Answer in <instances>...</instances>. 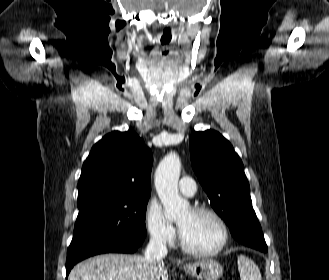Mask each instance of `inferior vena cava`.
I'll return each mask as SVG.
<instances>
[{
    "label": "inferior vena cava",
    "mask_w": 329,
    "mask_h": 280,
    "mask_svg": "<svg viewBox=\"0 0 329 280\" xmlns=\"http://www.w3.org/2000/svg\"><path fill=\"white\" fill-rule=\"evenodd\" d=\"M166 241L159 235H152L145 250L144 259L151 263H160L167 255Z\"/></svg>",
    "instance_id": "1"
}]
</instances>
